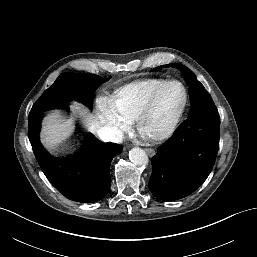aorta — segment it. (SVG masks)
<instances>
[{
  "label": "aorta",
  "mask_w": 257,
  "mask_h": 257,
  "mask_svg": "<svg viewBox=\"0 0 257 257\" xmlns=\"http://www.w3.org/2000/svg\"><path fill=\"white\" fill-rule=\"evenodd\" d=\"M129 158L131 162L136 165H143L148 162V156L146 152L139 147L132 148L129 151Z\"/></svg>",
  "instance_id": "aorta-1"
}]
</instances>
